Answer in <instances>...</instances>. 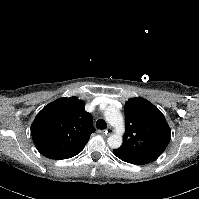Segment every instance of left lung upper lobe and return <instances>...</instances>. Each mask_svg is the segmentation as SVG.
Listing matches in <instances>:
<instances>
[{
  "instance_id": "obj_1",
  "label": "left lung upper lobe",
  "mask_w": 199,
  "mask_h": 199,
  "mask_svg": "<svg viewBox=\"0 0 199 199\" xmlns=\"http://www.w3.org/2000/svg\"><path fill=\"white\" fill-rule=\"evenodd\" d=\"M126 131L115 152L149 163L157 159L171 139V130L161 111L143 98L125 104Z\"/></svg>"
}]
</instances>
